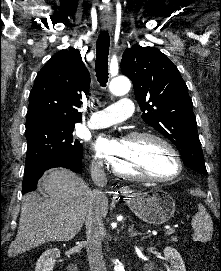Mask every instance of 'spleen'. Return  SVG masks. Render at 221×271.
Returning <instances> with one entry per match:
<instances>
[{
	"mask_svg": "<svg viewBox=\"0 0 221 271\" xmlns=\"http://www.w3.org/2000/svg\"><path fill=\"white\" fill-rule=\"evenodd\" d=\"M191 225L194 229V241H210L213 221L202 203H198V211L193 215Z\"/></svg>",
	"mask_w": 221,
	"mask_h": 271,
	"instance_id": "1",
	"label": "spleen"
}]
</instances>
